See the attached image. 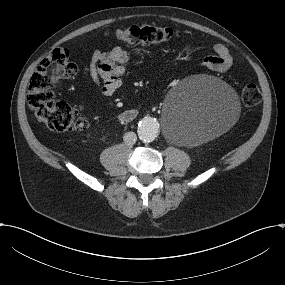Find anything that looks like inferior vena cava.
Here are the masks:
<instances>
[{
    "instance_id": "602c4592",
    "label": "inferior vena cava",
    "mask_w": 285,
    "mask_h": 285,
    "mask_svg": "<svg viewBox=\"0 0 285 285\" xmlns=\"http://www.w3.org/2000/svg\"><path fill=\"white\" fill-rule=\"evenodd\" d=\"M123 140H124L126 145L132 146V145L135 144V142L137 140V136H136V134L134 132H127L123 136Z\"/></svg>"
}]
</instances>
